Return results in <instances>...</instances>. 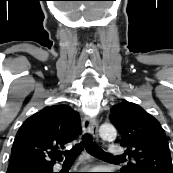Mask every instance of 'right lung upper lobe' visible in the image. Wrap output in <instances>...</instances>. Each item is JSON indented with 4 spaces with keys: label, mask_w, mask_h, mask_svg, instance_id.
Wrapping results in <instances>:
<instances>
[{
    "label": "right lung upper lobe",
    "mask_w": 173,
    "mask_h": 173,
    "mask_svg": "<svg viewBox=\"0 0 173 173\" xmlns=\"http://www.w3.org/2000/svg\"><path fill=\"white\" fill-rule=\"evenodd\" d=\"M81 132L79 114L67 105L45 107L25 120L11 150L8 171L61 161L60 149Z\"/></svg>",
    "instance_id": "1"
}]
</instances>
